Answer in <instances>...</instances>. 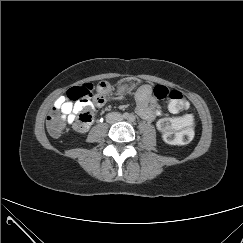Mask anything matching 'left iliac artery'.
<instances>
[{
	"instance_id": "obj_1",
	"label": "left iliac artery",
	"mask_w": 243,
	"mask_h": 243,
	"mask_svg": "<svg viewBox=\"0 0 243 243\" xmlns=\"http://www.w3.org/2000/svg\"><path fill=\"white\" fill-rule=\"evenodd\" d=\"M129 121H130V122H134V121H135V117H134L133 115H131V116L129 117Z\"/></svg>"
}]
</instances>
